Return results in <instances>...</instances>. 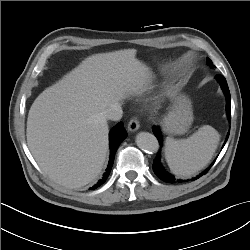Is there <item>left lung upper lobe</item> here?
Instances as JSON below:
<instances>
[{"label": "left lung upper lobe", "instance_id": "1", "mask_svg": "<svg viewBox=\"0 0 250 250\" xmlns=\"http://www.w3.org/2000/svg\"><path fill=\"white\" fill-rule=\"evenodd\" d=\"M207 63H208V65L213 66L212 61L209 58H207Z\"/></svg>", "mask_w": 250, "mask_h": 250}]
</instances>
